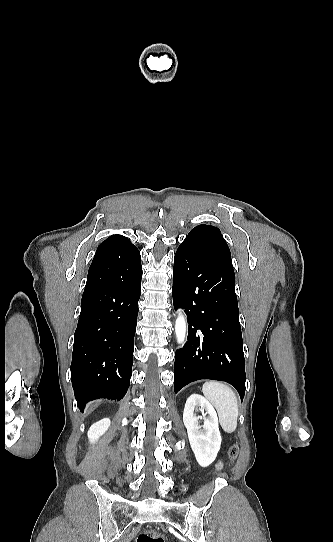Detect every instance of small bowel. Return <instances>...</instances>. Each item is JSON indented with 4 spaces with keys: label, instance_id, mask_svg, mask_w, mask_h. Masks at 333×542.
<instances>
[{
    "label": "small bowel",
    "instance_id": "small-bowel-1",
    "mask_svg": "<svg viewBox=\"0 0 333 542\" xmlns=\"http://www.w3.org/2000/svg\"><path fill=\"white\" fill-rule=\"evenodd\" d=\"M223 468V463L221 461L217 462L215 469L216 471H220Z\"/></svg>",
    "mask_w": 333,
    "mask_h": 542
}]
</instances>
